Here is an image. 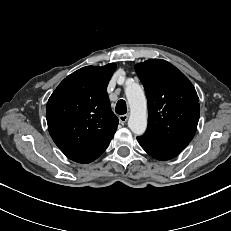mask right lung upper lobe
Listing matches in <instances>:
<instances>
[{
	"label": "right lung upper lobe",
	"instance_id": "cb5924a9",
	"mask_svg": "<svg viewBox=\"0 0 231 231\" xmlns=\"http://www.w3.org/2000/svg\"><path fill=\"white\" fill-rule=\"evenodd\" d=\"M116 69L83 67L67 76L55 89L46 106L49 133L71 160L90 163L113 138L118 118L110 108L107 84Z\"/></svg>",
	"mask_w": 231,
	"mask_h": 231
}]
</instances>
